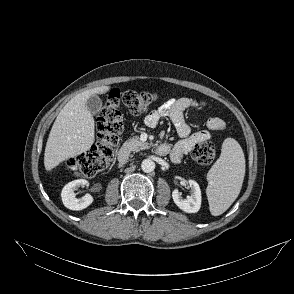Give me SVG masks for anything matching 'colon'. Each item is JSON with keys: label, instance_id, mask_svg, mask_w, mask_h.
I'll return each mask as SVG.
<instances>
[{"label": "colon", "instance_id": "1", "mask_svg": "<svg viewBox=\"0 0 294 294\" xmlns=\"http://www.w3.org/2000/svg\"><path fill=\"white\" fill-rule=\"evenodd\" d=\"M157 100L152 92L113 89L97 116L98 142L88 151L68 160L69 168L78 176L92 177L107 170L115 156V147L123 130L120 107L134 115L145 113ZM215 156V147L208 139L194 144L191 157L200 165L209 164Z\"/></svg>", "mask_w": 294, "mask_h": 294}]
</instances>
